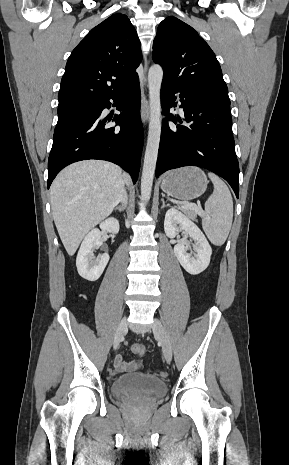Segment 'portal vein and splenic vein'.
Listing matches in <instances>:
<instances>
[{
  "label": "portal vein and splenic vein",
  "instance_id": "1",
  "mask_svg": "<svg viewBox=\"0 0 289 465\" xmlns=\"http://www.w3.org/2000/svg\"><path fill=\"white\" fill-rule=\"evenodd\" d=\"M181 208H183V209H192V210H195L197 213L201 212V208L199 206H197L196 204H194V203L183 204L181 206Z\"/></svg>",
  "mask_w": 289,
  "mask_h": 465
}]
</instances>
